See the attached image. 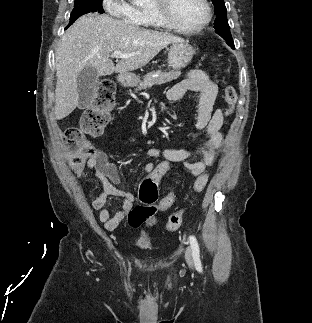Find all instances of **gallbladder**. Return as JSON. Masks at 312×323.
Wrapping results in <instances>:
<instances>
[{"mask_svg":"<svg viewBox=\"0 0 312 323\" xmlns=\"http://www.w3.org/2000/svg\"><path fill=\"white\" fill-rule=\"evenodd\" d=\"M99 74L96 68H84L77 78L78 108H88L95 94Z\"/></svg>","mask_w":312,"mask_h":323,"instance_id":"obj_1","label":"gallbladder"}]
</instances>
